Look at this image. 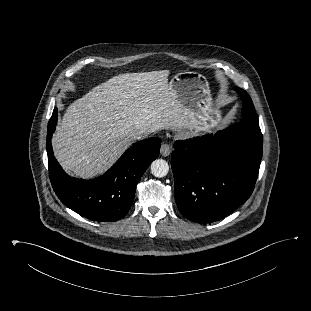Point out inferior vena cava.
<instances>
[{
    "label": "inferior vena cava",
    "mask_w": 311,
    "mask_h": 311,
    "mask_svg": "<svg viewBox=\"0 0 311 311\" xmlns=\"http://www.w3.org/2000/svg\"><path fill=\"white\" fill-rule=\"evenodd\" d=\"M148 136V134L142 133V132H138V133H134L133 134V138L134 139H143L146 138Z\"/></svg>",
    "instance_id": "602c4592"
}]
</instances>
